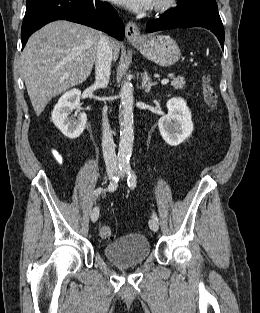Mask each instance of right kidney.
<instances>
[{"label":"right kidney","mask_w":260,"mask_h":313,"mask_svg":"<svg viewBox=\"0 0 260 313\" xmlns=\"http://www.w3.org/2000/svg\"><path fill=\"white\" fill-rule=\"evenodd\" d=\"M81 91L72 89L64 93L52 111L54 125L69 139L78 138L84 131L87 115L80 112ZM76 110L75 115L71 112Z\"/></svg>","instance_id":"right-kidney-1"}]
</instances>
